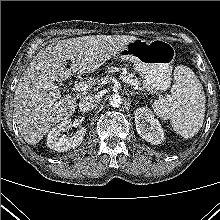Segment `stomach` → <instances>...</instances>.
<instances>
[{
    "mask_svg": "<svg viewBox=\"0 0 220 220\" xmlns=\"http://www.w3.org/2000/svg\"><path fill=\"white\" fill-rule=\"evenodd\" d=\"M175 50L167 41L156 39L130 41L118 57L131 61L142 77L143 88L150 93L167 90L172 81V63Z\"/></svg>",
    "mask_w": 220,
    "mask_h": 220,
    "instance_id": "obj_1",
    "label": "stomach"
}]
</instances>
